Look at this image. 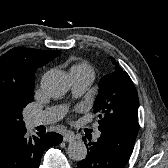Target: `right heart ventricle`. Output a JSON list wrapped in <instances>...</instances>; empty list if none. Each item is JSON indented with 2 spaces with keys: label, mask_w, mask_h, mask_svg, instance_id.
<instances>
[{
  "label": "right heart ventricle",
  "mask_w": 168,
  "mask_h": 168,
  "mask_svg": "<svg viewBox=\"0 0 168 168\" xmlns=\"http://www.w3.org/2000/svg\"><path fill=\"white\" fill-rule=\"evenodd\" d=\"M69 74L70 76L75 75V74H92L94 75V70L93 67L85 62V61H77L74 62L70 67H69Z\"/></svg>",
  "instance_id": "1"
}]
</instances>
